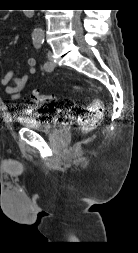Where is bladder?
Masks as SVG:
<instances>
[{"label": "bladder", "instance_id": "obj_1", "mask_svg": "<svg viewBox=\"0 0 138 253\" xmlns=\"http://www.w3.org/2000/svg\"><path fill=\"white\" fill-rule=\"evenodd\" d=\"M20 124L27 129L43 133H52L61 127L55 115L42 114L38 108L25 111L20 119Z\"/></svg>", "mask_w": 138, "mask_h": 253}]
</instances>
